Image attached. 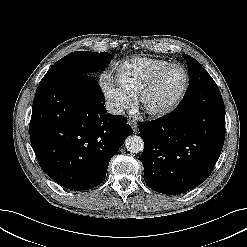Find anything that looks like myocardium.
Listing matches in <instances>:
<instances>
[{"mask_svg":"<svg viewBox=\"0 0 247 247\" xmlns=\"http://www.w3.org/2000/svg\"><path fill=\"white\" fill-rule=\"evenodd\" d=\"M176 67L180 68L183 71L184 77H185L184 85H183L181 91L173 99V101L170 102L168 105H166L162 108H158V109L149 108L146 105V98H147L148 94L154 88L158 79L160 78V76L163 73H165L167 70H169L171 68H176ZM188 87H189V74H188V71L186 70V68L184 66H182L181 64H178V63H170V64L156 70L149 77V79L141 86V88L139 89V91L136 94V103H137L139 109L144 114H146L150 117H153V118H161V117L169 115L179 106V104L182 102L183 98L185 97V95L187 93Z\"/></svg>","mask_w":247,"mask_h":247,"instance_id":"f54148a6","label":"myocardium"}]
</instances>
